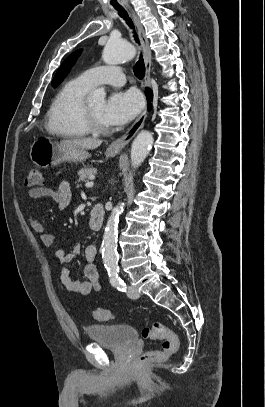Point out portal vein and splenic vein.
Segmentation results:
<instances>
[{"instance_id": "obj_1", "label": "portal vein and splenic vein", "mask_w": 265, "mask_h": 407, "mask_svg": "<svg viewBox=\"0 0 265 407\" xmlns=\"http://www.w3.org/2000/svg\"><path fill=\"white\" fill-rule=\"evenodd\" d=\"M85 186H86V187H92V186H93V182H87V183L85 184Z\"/></svg>"}]
</instances>
